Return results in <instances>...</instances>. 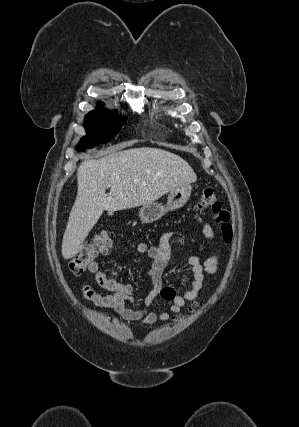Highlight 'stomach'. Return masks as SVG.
Wrapping results in <instances>:
<instances>
[{
  "label": "stomach",
  "instance_id": "obj_1",
  "mask_svg": "<svg viewBox=\"0 0 299 427\" xmlns=\"http://www.w3.org/2000/svg\"><path fill=\"white\" fill-rule=\"evenodd\" d=\"M192 187L189 184L177 186L170 190L167 204L152 202L145 204L139 210V217L143 223L157 221L169 211H174L183 207L190 198Z\"/></svg>",
  "mask_w": 299,
  "mask_h": 427
}]
</instances>
